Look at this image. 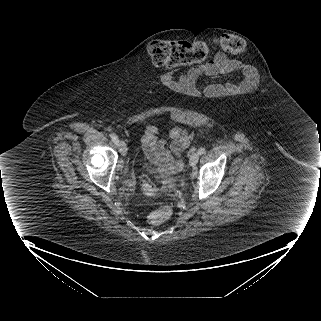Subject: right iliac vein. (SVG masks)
I'll return each instance as SVG.
<instances>
[{
    "label": "right iliac vein",
    "instance_id": "right-iliac-vein-1",
    "mask_svg": "<svg viewBox=\"0 0 321 321\" xmlns=\"http://www.w3.org/2000/svg\"><path fill=\"white\" fill-rule=\"evenodd\" d=\"M118 148L120 153L122 154V156H126L127 155V145L124 141L120 140L118 142Z\"/></svg>",
    "mask_w": 321,
    "mask_h": 321
}]
</instances>
